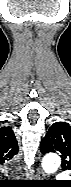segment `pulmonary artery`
I'll return each mask as SVG.
<instances>
[{
    "instance_id": "1",
    "label": "pulmonary artery",
    "mask_w": 71,
    "mask_h": 187,
    "mask_svg": "<svg viewBox=\"0 0 71 187\" xmlns=\"http://www.w3.org/2000/svg\"><path fill=\"white\" fill-rule=\"evenodd\" d=\"M67 176L65 175V174H60L59 176H58V178H60V179H64V178H66Z\"/></svg>"
}]
</instances>
